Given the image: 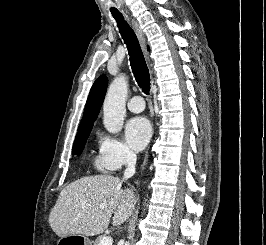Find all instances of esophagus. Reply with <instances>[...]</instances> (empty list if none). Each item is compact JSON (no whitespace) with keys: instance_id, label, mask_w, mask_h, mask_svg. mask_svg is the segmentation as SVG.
Instances as JSON below:
<instances>
[{"instance_id":"1","label":"esophagus","mask_w":266,"mask_h":245,"mask_svg":"<svg viewBox=\"0 0 266 245\" xmlns=\"http://www.w3.org/2000/svg\"><path fill=\"white\" fill-rule=\"evenodd\" d=\"M132 25H133V28H134V30L137 34V37L140 41V45H141L142 49L144 50L145 55L148 58V53H147V48H146V40L144 38V34H143V32H142L141 28L139 27V24L137 23L136 20L132 19ZM147 162H148V154L145 155L144 162H143L144 166L147 164Z\"/></svg>"}]
</instances>
